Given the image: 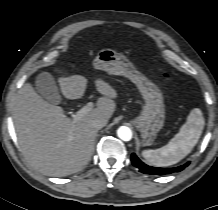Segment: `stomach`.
Returning a JSON list of instances; mask_svg holds the SVG:
<instances>
[{
    "instance_id": "stomach-1",
    "label": "stomach",
    "mask_w": 218,
    "mask_h": 210,
    "mask_svg": "<svg viewBox=\"0 0 218 210\" xmlns=\"http://www.w3.org/2000/svg\"><path fill=\"white\" fill-rule=\"evenodd\" d=\"M93 66L109 74L122 75L137 86L144 99V105L140 114L132 122L141 134L142 145L153 144L165 122L162 90L141 74L126 56L112 49L101 50L94 59Z\"/></svg>"
}]
</instances>
